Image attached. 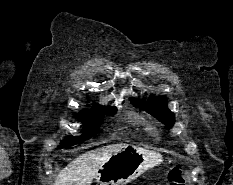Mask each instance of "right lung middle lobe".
I'll use <instances>...</instances> for the list:
<instances>
[{"mask_svg": "<svg viewBox=\"0 0 233 185\" xmlns=\"http://www.w3.org/2000/svg\"><path fill=\"white\" fill-rule=\"evenodd\" d=\"M116 111H117L116 107H110V108H107L104 113L106 115H114ZM104 113L99 112V111L92 112V113L87 112L79 116V119L81 121H84L85 124L87 125L86 129L89 133L88 134L89 136H93L96 133L98 127L101 124V121L103 120ZM84 139H85L84 136L82 137L69 136L64 141L61 142V147L69 148L73 145L82 143Z\"/></svg>", "mask_w": 233, "mask_h": 185, "instance_id": "obj_1", "label": "right lung middle lobe"}]
</instances>
